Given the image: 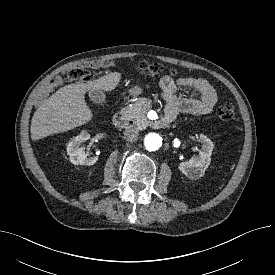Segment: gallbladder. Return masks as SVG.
I'll return each instance as SVG.
<instances>
[{"label": "gallbladder", "instance_id": "1", "mask_svg": "<svg viewBox=\"0 0 275 275\" xmlns=\"http://www.w3.org/2000/svg\"><path fill=\"white\" fill-rule=\"evenodd\" d=\"M89 98L94 103H105L106 102V95L102 90L94 89L89 91Z\"/></svg>", "mask_w": 275, "mask_h": 275}]
</instances>
